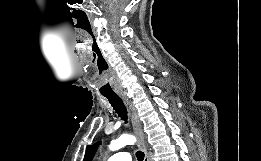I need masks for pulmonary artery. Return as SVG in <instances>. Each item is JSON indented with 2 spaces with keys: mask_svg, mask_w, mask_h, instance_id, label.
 I'll list each match as a JSON object with an SVG mask.
<instances>
[{
  "mask_svg": "<svg viewBox=\"0 0 261 161\" xmlns=\"http://www.w3.org/2000/svg\"><path fill=\"white\" fill-rule=\"evenodd\" d=\"M108 161H132V159L128 152L122 151L111 155Z\"/></svg>",
  "mask_w": 261,
  "mask_h": 161,
  "instance_id": "pulmonary-artery-1",
  "label": "pulmonary artery"
}]
</instances>
